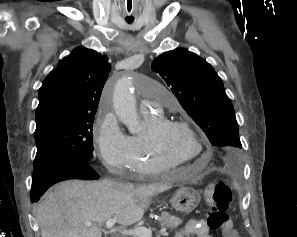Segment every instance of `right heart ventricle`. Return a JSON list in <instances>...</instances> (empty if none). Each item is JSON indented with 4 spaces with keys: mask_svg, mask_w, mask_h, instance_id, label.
I'll return each mask as SVG.
<instances>
[{
    "mask_svg": "<svg viewBox=\"0 0 297 237\" xmlns=\"http://www.w3.org/2000/svg\"><path fill=\"white\" fill-rule=\"evenodd\" d=\"M146 129L130 137L129 169L136 174L148 176L169 172L176 169L178 164L161 159L153 150L149 140V129L162 119L159 114L143 113Z\"/></svg>",
    "mask_w": 297,
    "mask_h": 237,
    "instance_id": "1",
    "label": "right heart ventricle"
}]
</instances>
